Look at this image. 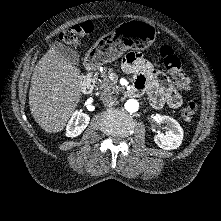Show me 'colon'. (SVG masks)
Segmentation results:
<instances>
[{"mask_svg": "<svg viewBox=\"0 0 221 221\" xmlns=\"http://www.w3.org/2000/svg\"><path fill=\"white\" fill-rule=\"evenodd\" d=\"M93 31V25L90 21L78 23L69 29L65 30L60 35V40L67 46H74L79 39L89 35ZM160 58L171 74L174 82L180 88L189 87V77L187 76L182 61L175 53V51L168 45H161L159 47ZM197 110V104L194 100H189L181 112V116L185 121H190Z\"/></svg>", "mask_w": 221, "mask_h": 221, "instance_id": "1", "label": "colon"}]
</instances>
